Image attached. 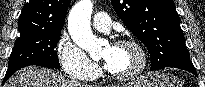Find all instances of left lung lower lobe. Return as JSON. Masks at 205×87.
I'll use <instances>...</instances> for the list:
<instances>
[{"mask_svg":"<svg viewBox=\"0 0 205 87\" xmlns=\"http://www.w3.org/2000/svg\"><path fill=\"white\" fill-rule=\"evenodd\" d=\"M169 67L179 68V69L191 72L197 76L195 67L190 60H180V61L172 63Z\"/></svg>","mask_w":205,"mask_h":87,"instance_id":"1","label":"left lung lower lobe"}]
</instances>
